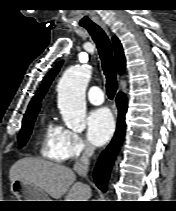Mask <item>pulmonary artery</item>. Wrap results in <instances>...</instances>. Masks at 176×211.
<instances>
[{
  "mask_svg": "<svg viewBox=\"0 0 176 211\" xmlns=\"http://www.w3.org/2000/svg\"><path fill=\"white\" fill-rule=\"evenodd\" d=\"M88 100L93 105H101L104 102V94L100 87L92 86L87 92Z\"/></svg>",
  "mask_w": 176,
  "mask_h": 211,
  "instance_id": "pulmonary-artery-1",
  "label": "pulmonary artery"
}]
</instances>
